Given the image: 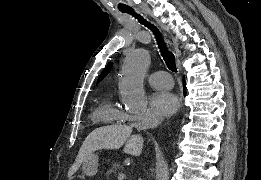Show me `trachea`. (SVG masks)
Segmentation results:
<instances>
[{
    "label": "trachea",
    "instance_id": "trachea-1",
    "mask_svg": "<svg viewBox=\"0 0 261 180\" xmlns=\"http://www.w3.org/2000/svg\"><path fill=\"white\" fill-rule=\"evenodd\" d=\"M122 13H129L130 15L137 18L138 21L140 23H142V25H145V27H148L152 30V32L154 33L155 38L157 40V43H158V46H159V49L161 52V56L165 60L167 67L169 68V70H171V72H177L175 56L171 52H169V50L167 49L166 44H165L163 37H162L161 33L159 32V30L154 25H152L151 23L144 20V18L141 17V15H138L137 13H135V11L133 9L122 11Z\"/></svg>",
    "mask_w": 261,
    "mask_h": 180
}]
</instances>
